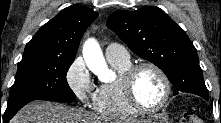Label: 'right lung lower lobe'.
<instances>
[{
  "instance_id": "obj_1",
  "label": "right lung lower lobe",
  "mask_w": 221,
  "mask_h": 123,
  "mask_svg": "<svg viewBox=\"0 0 221 123\" xmlns=\"http://www.w3.org/2000/svg\"><path fill=\"white\" fill-rule=\"evenodd\" d=\"M12 117H13V116H8V117H6V116L4 115V118L6 119V121H9Z\"/></svg>"
}]
</instances>
